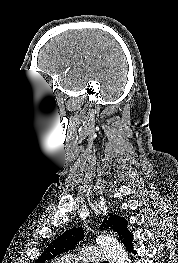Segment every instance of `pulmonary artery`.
<instances>
[{
    "mask_svg": "<svg viewBox=\"0 0 178 263\" xmlns=\"http://www.w3.org/2000/svg\"><path fill=\"white\" fill-rule=\"evenodd\" d=\"M104 257L103 252L97 247H88L83 249L76 256L66 255L58 260L59 263H97Z\"/></svg>",
    "mask_w": 178,
    "mask_h": 263,
    "instance_id": "1",
    "label": "pulmonary artery"
}]
</instances>
